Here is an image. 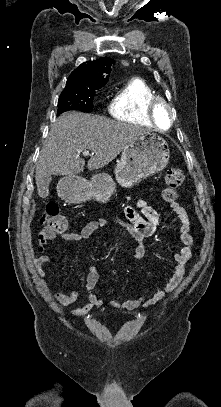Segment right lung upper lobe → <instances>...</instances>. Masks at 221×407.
<instances>
[{"instance_id":"1","label":"right lung upper lobe","mask_w":221,"mask_h":407,"mask_svg":"<svg viewBox=\"0 0 221 407\" xmlns=\"http://www.w3.org/2000/svg\"><path fill=\"white\" fill-rule=\"evenodd\" d=\"M114 63L109 57H102L96 61L82 63L67 79L64 90L75 89H100L108 81L111 64Z\"/></svg>"}]
</instances>
